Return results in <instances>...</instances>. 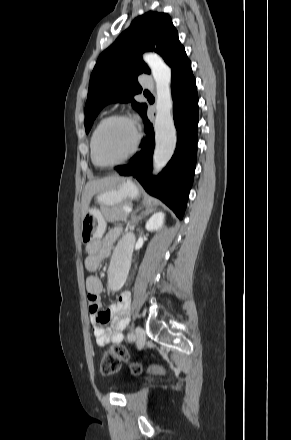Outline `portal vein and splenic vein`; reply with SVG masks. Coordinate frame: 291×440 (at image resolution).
<instances>
[{"instance_id": "18ae733b", "label": "portal vein and splenic vein", "mask_w": 291, "mask_h": 440, "mask_svg": "<svg viewBox=\"0 0 291 440\" xmlns=\"http://www.w3.org/2000/svg\"><path fill=\"white\" fill-rule=\"evenodd\" d=\"M123 210H124L126 213H131V212H132V209H131L130 207H127V206H124V207H123Z\"/></svg>"}]
</instances>
